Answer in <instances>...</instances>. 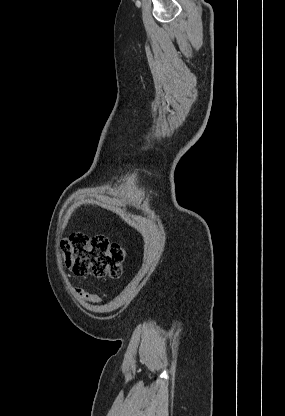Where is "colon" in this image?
<instances>
[{
  "label": "colon",
  "mask_w": 285,
  "mask_h": 416,
  "mask_svg": "<svg viewBox=\"0 0 285 416\" xmlns=\"http://www.w3.org/2000/svg\"><path fill=\"white\" fill-rule=\"evenodd\" d=\"M63 261L76 276L118 278L126 256L123 245L111 243L104 235L76 233L62 243Z\"/></svg>",
  "instance_id": "colon-1"
}]
</instances>
